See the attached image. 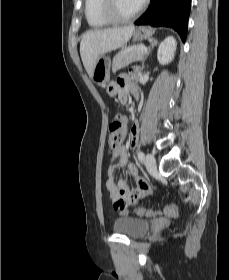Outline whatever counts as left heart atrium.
Listing matches in <instances>:
<instances>
[{
  "label": "left heart atrium",
  "mask_w": 229,
  "mask_h": 280,
  "mask_svg": "<svg viewBox=\"0 0 229 280\" xmlns=\"http://www.w3.org/2000/svg\"><path fill=\"white\" fill-rule=\"evenodd\" d=\"M136 1H137V4H138L139 7L144 5L145 2H146V0H136Z\"/></svg>",
  "instance_id": "1"
}]
</instances>
